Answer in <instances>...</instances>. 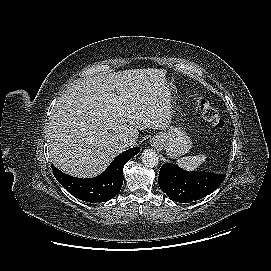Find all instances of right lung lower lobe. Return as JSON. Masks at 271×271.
I'll list each match as a JSON object with an SVG mask.
<instances>
[{"label": "right lung lower lobe", "mask_w": 271, "mask_h": 271, "mask_svg": "<svg viewBox=\"0 0 271 271\" xmlns=\"http://www.w3.org/2000/svg\"><path fill=\"white\" fill-rule=\"evenodd\" d=\"M139 150L134 147L122 152L102 174L94 178L72 177L55 167L53 174L57 181L78 199L91 203L106 202L119 193L123 184V167Z\"/></svg>", "instance_id": "1"}]
</instances>
